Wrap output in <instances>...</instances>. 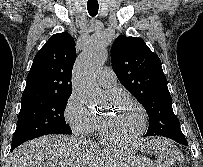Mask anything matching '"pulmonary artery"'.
Segmentation results:
<instances>
[{"mask_svg": "<svg viewBox=\"0 0 203 167\" xmlns=\"http://www.w3.org/2000/svg\"><path fill=\"white\" fill-rule=\"evenodd\" d=\"M116 75L109 67L101 68L97 73L98 84L105 89H112L116 84Z\"/></svg>", "mask_w": 203, "mask_h": 167, "instance_id": "pulmonary-artery-1", "label": "pulmonary artery"}]
</instances>
